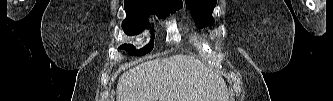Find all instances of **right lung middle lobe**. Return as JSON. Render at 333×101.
Here are the masks:
<instances>
[{
  "label": "right lung middle lobe",
  "mask_w": 333,
  "mask_h": 101,
  "mask_svg": "<svg viewBox=\"0 0 333 101\" xmlns=\"http://www.w3.org/2000/svg\"><path fill=\"white\" fill-rule=\"evenodd\" d=\"M124 7L127 18L123 21L122 27L127 35H137L148 25V16L156 14L158 18H165L182 8V4H173L155 0H125ZM154 38V37H153ZM154 40L140 50H136L133 45L123 44L122 49L135 55H145L153 49Z\"/></svg>",
  "instance_id": "right-lung-middle-lobe-1"
}]
</instances>
